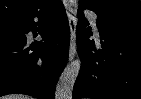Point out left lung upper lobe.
<instances>
[{"mask_svg":"<svg viewBox=\"0 0 141 99\" xmlns=\"http://www.w3.org/2000/svg\"><path fill=\"white\" fill-rule=\"evenodd\" d=\"M102 19L119 24L141 25L139 0H80V5Z\"/></svg>","mask_w":141,"mask_h":99,"instance_id":"obj_1","label":"left lung upper lobe"}]
</instances>
